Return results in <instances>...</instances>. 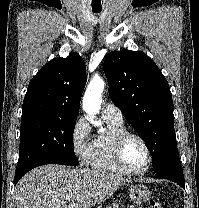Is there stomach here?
Segmentation results:
<instances>
[{"mask_svg":"<svg viewBox=\"0 0 199 208\" xmlns=\"http://www.w3.org/2000/svg\"><path fill=\"white\" fill-rule=\"evenodd\" d=\"M129 196L133 203L141 204L146 202L150 198V191L147 186L143 184L131 185Z\"/></svg>","mask_w":199,"mask_h":208,"instance_id":"obj_1","label":"stomach"}]
</instances>
